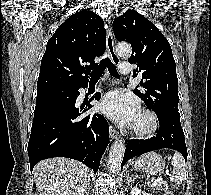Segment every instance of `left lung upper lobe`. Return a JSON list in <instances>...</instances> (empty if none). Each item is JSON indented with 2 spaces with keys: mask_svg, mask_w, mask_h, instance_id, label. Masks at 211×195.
Masks as SVG:
<instances>
[{
  "mask_svg": "<svg viewBox=\"0 0 211 195\" xmlns=\"http://www.w3.org/2000/svg\"><path fill=\"white\" fill-rule=\"evenodd\" d=\"M118 41L132 46L129 63L137 65L133 73L142 74L140 84L134 90L157 117L180 120L178 112V78L176 64L169 42L159 29L143 15L128 10L113 22Z\"/></svg>",
  "mask_w": 211,
  "mask_h": 195,
  "instance_id": "5c2ea615",
  "label": "left lung upper lobe"
}]
</instances>
